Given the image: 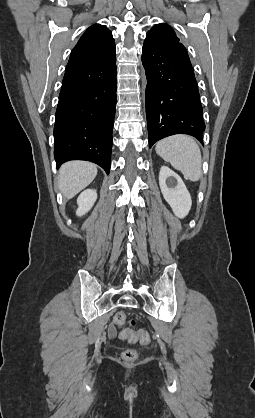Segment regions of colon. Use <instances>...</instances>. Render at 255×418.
Returning <instances> with one entry per match:
<instances>
[{"label": "colon", "mask_w": 255, "mask_h": 418, "mask_svg": "<svg viewBox=\"0 0 255 418\" xmlns=\"http://www.w3.org/2000/svg\"><path fill=\"white\" fill-rule=\"evenodd\" d=\"M113 322L120 328L119 337L121 339L132 342L139 340L143 344H148L150 342V335L147 331L142 330L135 332V321L132 320L130 322V327H126L127 317L123 312H117L113 317ZM122 358L126 361H134L137 358V352L134 349H126L122 353Z\"/></svg>", "instance_id": "5ec220e1"}]
</instances>
